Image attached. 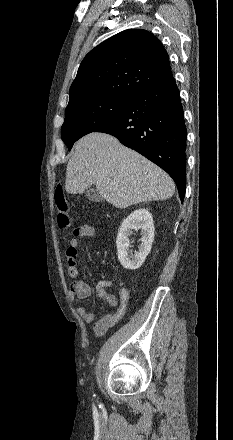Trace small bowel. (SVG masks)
<instances>
[{
    "label": "small bowel",
    "mask_w": 233,
    "mask_h": 440,
    "mask_svg": "<svg viewBox=\"0 0 233 440\" xmlns=\"http://www.w3.org/2000/svg\"><path fill=\"white\" fill-rule=\"evenodd\" d=\"M95 235L96 229L90 225L78 227L73 231V238L67 247V257L69 259L68 274L70 277H79V270L75 265L79 238L94 237ZM112 286H115V282L112 280H101L96 284V295L99 299L103 300L108 307L112 308L110 312L104 313L96 320V313L88 311L85 306H80L77 309L79 317L84 322L89 323L96 320L93 327V332L96 336L105 334L122 319L126 312L129 291L125 287H120L119 298L117 299L107 291V288ZM70 295L72 299L85 300L90 297L91 288L84 280L78 279L71 284Z\"/></svg>",
    "instance_id": "obj_1"
}]
</instances>
